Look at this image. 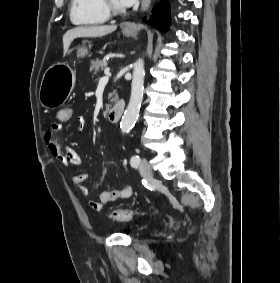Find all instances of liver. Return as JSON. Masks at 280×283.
<instances>
[{"label":"liver","mask_w":280,"mask_h":283,"mask_svg":"<svg viewBox=\"0 0 280 283\" xmlns=\"http://www.w3.org/2000/svg\"><path fill=\"white\" fill-rule=\"evenodd\" d=\"M116 29V25L79 26L70 29L63 36L64 55L74 39L79 37H102L114 32Z\"/></svg>","instance_id":"liver-1"}]
</instances>
